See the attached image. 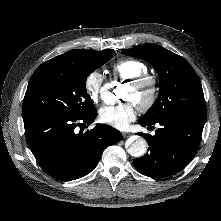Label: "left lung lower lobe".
<instances>
[{
  "instance_id": "0a47b994",
  "label": "left lung lower lobe",
  "mask_w": 221,
  "mask_h": 221,
  "mask_svg": "<svg viewBox=\"0 0 221 221\" xmlns=\"http://www.w3.org/2000/svg\"><path fill=\"white\" fill-rule=\"evenodd\" d=\"M161 125L155 135L138 133L148 142L147 153L133 160L142 174L162 178L178 173L194 158L205 122L187 118L168 117L155 121L140 120L145 127Z\"/></svg>"
}]
</instances>
